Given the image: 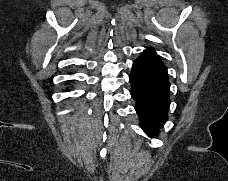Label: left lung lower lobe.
I'll list each match as a JSON object with an SVG mask.
<instances>
[{"instance_id":"left-lung-lower-lobe-1","label":"left lung lower lobe","mask_w":228,"mask_h":181,"mask_svg":"<svg viewBox=\"0 0 228 181\" xmlns=\"http://www.w3.org/2000/svg\"><path fill=\"white\" fill-rule=\"evenodd\" d=\"M130 82L143 130L155 136L167 121L170 83L166 66L152 49H147L134 61Z\"/></svg>"}]
</instances>
